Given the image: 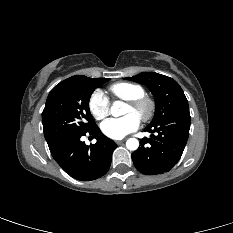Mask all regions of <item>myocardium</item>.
Returning a JSON list of instances; mask_svg holds the SVG:
<instances>
[{"label": "myocardium", "instance_id": "myocardium-1", "mask_svg": "<svg viewBox=\"0 0 233 233\" xmlns=\"http://www.w3.org/2000/svg\"><path fill=\"white\" fill-rule=\"evenodd\" d=\"M126 105L135 111L144 109V111L139 116V119L143 122L150 121L154 117L156 111L155 101L147 95L129 100L126 102Z\"/></svg>", "mask_w": 233, "mask_h": 233}]
</instances>
